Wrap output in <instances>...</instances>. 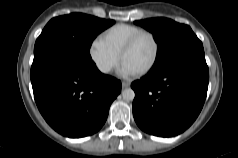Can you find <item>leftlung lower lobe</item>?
Segmentation results:
<instances>
[{
  "label": "left lung lower lobe",
  "mask_w": 238,
  "mask_h": 158,
  "mask_svg": "<svg viewBox=\"0 0 238 158\" xmlns=\"http://www.w3.org/2000/svg\"><path fill=\"white\" fill-rule=\"evenodd\" d=\"M209 70L203 46L185 50L154 67L131 87L133 116L145 132L172 137L199 115L208 89Z\"/></svg>",
  "instance_id": "0a47b994"
}]
</instances>
